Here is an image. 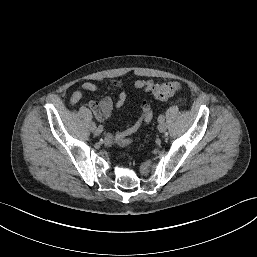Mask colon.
Instances as JSON below:
<instances>
[{"label":"colon","mask_w":257,"mask_h":257,"mask_svg":"<svg viewBox=\"0 0 257 257\" xmlns=\"http://www.w3.org/2000/svg\"><path fill=\"white\" fill-rule=\"evenodd\" d=\"M182 85L177 81H168L155 85L152 91V97L155 100H164L181 91Z\"/></svg>","instance_id":"1"}]
</instances>
